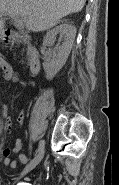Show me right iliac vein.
Segmentation results:
<instances>
[{
	"label": "right iliac vein",
	"mask_w": 119,
	"mask_h": 185,
	"mask_svg": "<svg viewBox=\"0 0 119 185\" xmlns=\"http://www.w3.org/2000/svg\"><path fill=\"white\" fill-rule=\"evenodd\" d=\"M44 153H45V143L43 142L42 148L38 151V153L33 158V160L28 165H26V167L20 173L19 178L24 176L28 172H30L32 169H34L39 164V162L42 160Z\"/></svg>",
	"instance_id": "right-iliac-vein-1"
}]
</instances>
